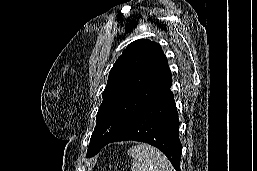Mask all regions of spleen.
Masks as SVG:
<instances>
[{"instance_id": "1", "label": "spleen", "mask_w": 257, "mask_h": 171, "mask_svg": "<svg viewBox=\"0 0 257 171\" xmlns=\"http://www.w3.org/2000/svg\"><path fill=\"white\" fill-rule=\"evenodd\" d=\"M128 154L132 157L131 171H175L167 157L153 146L138 144Z\"/></svg>"}]
</instances>
